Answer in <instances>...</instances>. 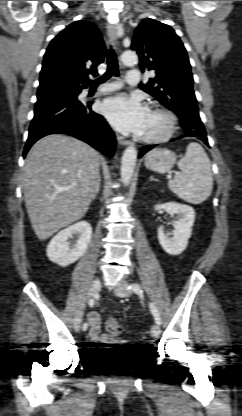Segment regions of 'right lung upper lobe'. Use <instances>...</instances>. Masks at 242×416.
<instances>
[{"label":"right lung upper lobe","instance_id":"1","mask_svg":"<svg viewBox=\"0 0 242 416\" xmlns=\"http://www.w3.org/2000/svg\"><path fill=\"white\" fill-rule=\"evenodd\" d=\"M105 44L96 26L85 21L70 24L48 46L40 72L37 97L60 90H82L88 74L97 75L103 62Z\"/></svg>","mask_w":242,"mask_h":416}]
</instances>
